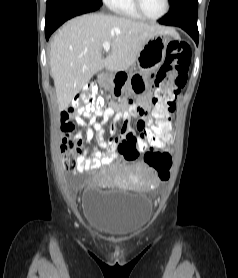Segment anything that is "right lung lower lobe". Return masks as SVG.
<instances>
[{
  "instance_id": "obj_1",
  "label": "right lung lower lobe",
  "mask_w": 238,
  "mask_h": 278,
  "mask_svg": "<svg viewBox=\"0 0 238 278\" xmlns=\"http://www.w3.org/2000/svg\"><path fill=\"white\" fill-rule=\"evenodd\" d=\"M101 6L97 0H47L45 36L46 40L65 21L75 16L93 12Z\"/></svg>"
}]
</instances>
